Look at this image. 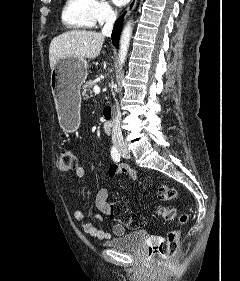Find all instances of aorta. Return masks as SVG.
<instances>
[{
  "label": "aorta",
  "instance_id": "762f6f07",
  "mask_svg": "<svg viewBox=\"0 0 240 281\" xmlns=\"http://www.w3.org/2000/svg\"><path fill=\"white\" fill-rule=\"evenodd\" d=\"M133 26L129 21L122 30L120 42H119V65L122 66L125 63L126 56L129 49V44L132 36Z\"/></svg>",
  "mask_w": 240,
  "mask_h": 281
}]
</instances>
